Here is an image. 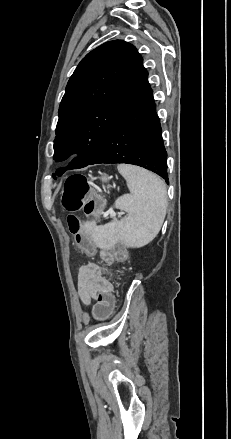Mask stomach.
<instances>
[{
    "label": "stomach",
    "mask_w": 231,
    "mask_h": 439,
    "mask_svg": "<svg viewBox=\"0 0 231 439\" xmlns=\"http://www.w3.org/2000/svg\"><path fill=\"white\" fill-rule=\"evenodd\" d=\"M110 179V177L108 176V175H103L102 177H101V180L103 181V182H106V181H108Z\"/></svg>",
    "instance_id": "0dacf381"
}]
</instances>
